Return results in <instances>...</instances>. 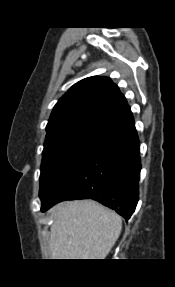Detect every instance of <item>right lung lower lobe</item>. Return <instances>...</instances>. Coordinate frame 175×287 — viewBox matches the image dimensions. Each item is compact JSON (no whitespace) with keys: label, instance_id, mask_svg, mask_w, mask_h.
I'll return each instance as SVG.
<instances>
[{"label":"right lung lower lobe","instance_id":"right-lung-lower-lobe-1","mask_svg":"<svg viewBox=\"0 0 175 287\" xmlns=\"http://www.w3.org/2000/svg\"><path fill=\"white\" fill-rule=\"evenodd\" d=\"M140 145L134 118L120 122L41 196V210L68 199L91 198L127 221L135 211L140 179Z\"/></svg>","mask_w":175,"mask_h":287}]
</instances>
